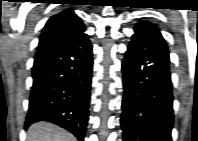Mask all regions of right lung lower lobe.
<instances>
[{
	"label": "right lung lower lobe",
	"instance_id": "right-lung-lower-lobe-1",
	"mask_svg": "<svg viewBox=\"0 0 198 141\" xmlns=\"http://www.w3.org/2000/svg\"><path fill=\"white\" fill-rule=\"evenodd\" d=\"M92 45L84 32L35 55L25 128L45 120L83 141L89 118Z\"/></svg>",
	"mask_w": 198,
	"mask_h": 141
}]
</instances>
